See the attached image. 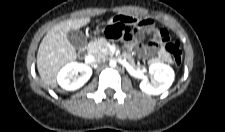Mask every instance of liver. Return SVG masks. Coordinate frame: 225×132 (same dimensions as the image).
Returning a JSON list of instances; mask_svg holds the SVG:
<instances>
[{"instance_id":"1","label":"liver","mask_w":225,"mask_h":132,"mask_svg":"<svg viewBox=\"0 0 225 132\" xmlns=\"http://www.w3.org/2000/svg\"><path fill=\"white\" fill-rule=\"evenodd\" d=\"M90 22V17L62 21L53 26L42 39L37 52V69L43 83L57 87V74L61 67L77 58L75 47L69 42L67 32L78 30Z\"/></svg>"}]
</instances>
